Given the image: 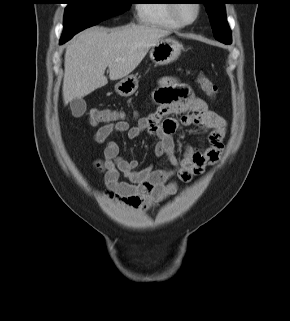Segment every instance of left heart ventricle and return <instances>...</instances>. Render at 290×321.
Segmentation results:
<instances>
[{"label": "left heart ventricle", "mask_w": 290, "mask_h": 321, "mask_svg": "<svg viewBox=\"0 0 290 321\" xmlns=\"http://www.w3.org/2000/svg\"><path fill=\"white\" fill-rule=\"evenodd\" d=\"M179 13L185 20L190 21L196 14L195 5L193 3H181Z\"/></svg>", "instance_id": "b2bd125f"}]
</instances>
